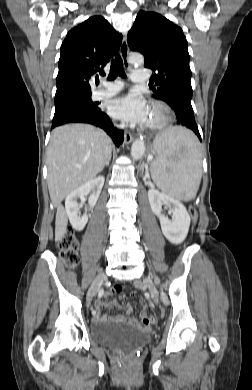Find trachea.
Returning <instances> with one entry per match:
<instances>
[{"instance_id":"trachea-1","label":"trachea","mask_w":252,"mask_h":390,"mask_svg":"<svg viewBox=\"0 0 252 390\" xmlns=\"http://www.w3.org/2000/svg\"><path fill=\"white\" fill-rule=\"evenodd\" d=\"M117 76L126 77L123 70V61L119 55H117L116 58L112 61L108 80H113ZM96 83L98 84L99 81L97 80Z\"/></svg>"}]
</instances>
